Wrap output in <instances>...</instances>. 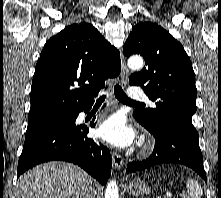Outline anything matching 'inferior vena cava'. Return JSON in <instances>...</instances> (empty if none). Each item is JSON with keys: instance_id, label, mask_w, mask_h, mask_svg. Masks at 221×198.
<instances>
[{"instance_id": "inferior-vena-cava-1", "label": "inferior vena cava", "mask_w": 221, "mask_h": 198, "mask_svg": "<svg viewBox=\"0 0 221 198\" xmlns=\"http://www.w3.org/2000/svg\"><path fill=\"white\" fill-rule=\"evenodd\" d=\"M87 198H93V190H92V188L90 189V192H89Z\"/></svg>"}]
</instances>
